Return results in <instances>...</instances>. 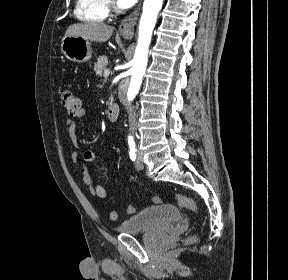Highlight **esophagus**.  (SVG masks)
Returning a JSON list of instances; mask_svg holds the SVG:
<instances>
[{
  "label": "esophagus",
  "instance_id": "esophagus-1",
  "mask_svg": "<svg viewBox=\"0 0 288 280\" xmlns=\"http://www.w3.org/2000/svg\"><path fill=\"white\" fill-rule=\"evenodd\" d=\"M140 11V5L126 16L119 25V33L124 38H131L134 33V26Z\"/></svg>",
  "mask_w": 288,
  "mask_h": 280
}]
</instances>
